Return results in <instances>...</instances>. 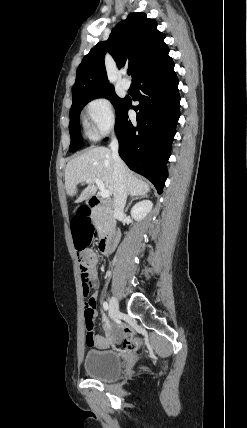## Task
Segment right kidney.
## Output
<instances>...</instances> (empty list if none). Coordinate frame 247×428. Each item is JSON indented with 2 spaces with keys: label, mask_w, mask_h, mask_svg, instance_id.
Returning a JSON list of instances; mask_svg holds the SVG:
<instances>
[{
  "label": "right kidney",
  "mask_w": 247,
  "mask_h": 428,
  "mask_svg": "<svg viewBox=\"0 0 247 428\" xmlns=\"http://www.w3.org/2000/svg\"><path fill=\"white\" fill-rule=\"evenodd\" d=\"M152 207L153 203L150 200L140 201L132 207L131 215L135 220L141 221L151 211Z\"/></svg>",
  "instance_id": "obj_1"
}]
</instances>
